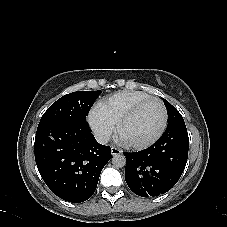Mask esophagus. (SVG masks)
Instances as JSON below:
<instances>
[{
    "label": "esophagus",
    "instance_id": "esophagus-1",
    "mask_svg": "<svg viewBox=\"0 0 227 227\" xmlns=\"http://www.w3.org/2000/svg\"><path fill=\"white\" fill-rule=\"evenodd\" d=\"M121 153H122V150H120V149H118V148H116V147H112V148H111V154H112L113 156L118 155V154H121Z\"/></svg>",
    "mask_w": 227,
    "mask_h": 227
}]
</instances>
